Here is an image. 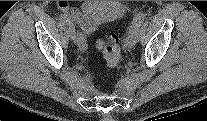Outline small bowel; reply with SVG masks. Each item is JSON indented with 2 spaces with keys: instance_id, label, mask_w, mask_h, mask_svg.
I'll list each match as a JSON object with an SVG mask.
<instances>
[{
  "instance_id": "obj_1",
  "label": "small bowel",
  "mask_w": 207,
  "mask_h": 121,
  "mask_svg": "<svg viewBox=\"0 0 207 121\" xmlns=\"http://www.w3.org/2000/svg\"><path fill=\"white\" fill-rule=\"evenodd\" d=\"M58 6L64 11H70V14L72 16H77V12L71 9L69 4L66 1H59ZM85 28L87 29L88 27L85 26Z\"/></svg>"
}]
</instances>
